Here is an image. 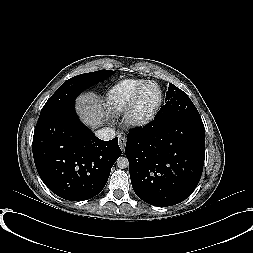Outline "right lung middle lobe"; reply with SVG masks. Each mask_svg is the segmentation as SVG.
<instances>
[{
    "label": "right lung middle lobe",
    "instance_id": "right-lung-middle-lobe-1",
    "mask_svg": "<svg viewBox=\"0 0 253 253\" xmlns=\"http://www.w3.org/2000/svg\"><path fill=\"white\" fill-rule=\"evenodd\" d=\"M112 70H100L80 74L64 82L43 106L40 115L53 112L73 103L76 97L86 88L110 77Z\"/></svg>",
    "mask_w": 253,
    "mask_h": 253
}]
</instances>
